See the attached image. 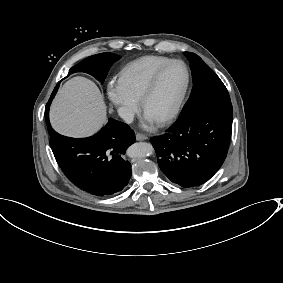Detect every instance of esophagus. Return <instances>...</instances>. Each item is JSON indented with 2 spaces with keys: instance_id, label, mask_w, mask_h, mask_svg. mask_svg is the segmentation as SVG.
Here are the masks:
<instances>
[{
  "instance_id": "obj_1",
  "label": "esophagus",
  "mask_w": 283,
  "mask_h": 283,
  "mask_svg": "<svg viewBox=\"0 0 283 283\" xmlns=\"http://www.w3.org/2000/svg\"><path fill=\"white\" fill-rule=\"evenodd\" d=\"M146 139H148L147 136H145V135H143V134H141V133H137V134H136V140H137V141H144V140H146Z\"/></svg>"
}]
</instances>
